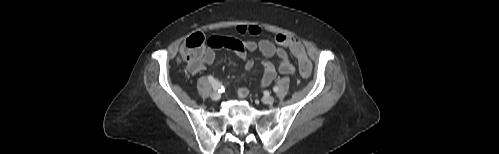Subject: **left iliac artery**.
Returning <instances> with one entry per match:
<instances>
[{
	"label": "left iliac artery",
	"instance_id": "obj_1",
	"mask_svg": "<svg viewBox=\"0 0 499 154\" xmlns=\"http://www.w3.org/2000/svg\"><path fill=\"white\" fill-rule=\"evenodd\" d=\"M279 88L277 86L273 87L274 92H278Z\"/></svg>",
	"mask_w": 499,
	"mask_h": 154
}]
</instances>
